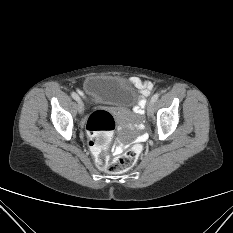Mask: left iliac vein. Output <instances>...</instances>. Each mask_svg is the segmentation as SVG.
<instances>
[{
  "label": "left iliac vein",
  "mask_w": 233,
  "mask_h": 233,
  "mask_svg": "<svg viewBox=\"0 0 233 233\" xmlns=\"http://www.w3.org/2000/svg\"><path fill=\"white\" fill-rule=\"evenodd\" d=\"M153 104L154 103L151 100L147 103L146 111H147L148 116H152L153 114Z\"/></svg>",
  "instance_id": "1"
}]
</instances>
